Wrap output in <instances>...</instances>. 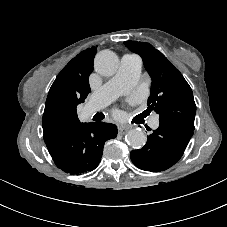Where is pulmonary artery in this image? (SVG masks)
<instances>
[{
	"label": "pulmonary artery",
	"instance_id": "pulmonary-artery-1",
	"mask_svg": "<svg viewBox=\"0 0 227 227\" xmlns=\"http://www.w3.org/2000/svg\"><path fill=\"white\" fill-rule=\"evenodd\" d=\"M141 68L142 61L139 57L130 54L123 55L115 76L93 93L88 114L103 108L118 96L130 91L140 77ZM150 126L153 129L158 128V115L154 114L151 116Z\"/></svg>",
	"mask_w": 227,
	"mask_h": 227
}]
</instances>
